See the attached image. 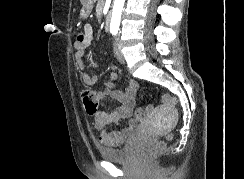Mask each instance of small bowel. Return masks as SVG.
I'll return each instance as SVG.
<instances>
[{"label":"small bowel","mask_w":244,"mask_h":179,"mask_svg":"<svg viewBox=\"0 0 244 179\" xmlns=\"http://www.w3.org/2000/svg\"><path fill=\"white\" fill-rule=\"evenodd\" d=\"M89 13V12H86ZM93 39V29L91 25L84 26L81 33L78 34L74 47L76 53L74 61L78 69L83 70L85 65L83 57L90 48ZM117 74L115 72L109 73V80L105 82L102 89L97 92V98L103 100L107 96L119 101L121 105L112 112L101 111L95 116V127L102 130L99 136V142L105 146L116 147L124 143L126 138L133 132L137 125L135 117L133 116L134 100L137 91V85L134 82L127 84L126 92L115 89V82ZM81 80L87 85H94L98 80L97 74L82 73ZM144 116V115H136ZM119 119L126 120L125 128L121 130L105 131L106 126L116 124Z\"/></svg>","instance_id":"small-bowel-1"}]
</instances>
